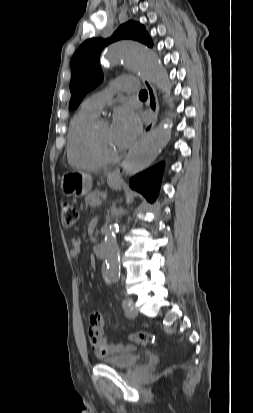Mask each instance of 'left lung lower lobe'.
Returning <instances> with one entry per match:
<instances>
[{
    "label": "left lung lower lobe",
    "mask_w": 253,
    "mask_h": 413,
    "mask_svg": "<svg viewBox=\"0 0 253 413\" xmlns=\"http://www.w3.org/2000/svg\"><path fill=\"white\" fill-rule=\"evenodd\" d=\"M162 172L163 164L160 163L131 178L130 186L142 193L147 200L153 202L159 191Z\"/></svg>",
    "instance_id": "obj_1"
}]
</instances>
